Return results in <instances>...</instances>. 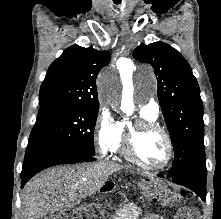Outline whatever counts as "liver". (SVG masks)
I'll return each mask as SVG.
<instances>
[{"label":"liver","instance_id":"6515ba94","mask_svg":"<svg viewBox=\"0 0 221 219\" xmlns=\"http://www.w3.org/2000/svg\"><path fill=\"white\" fill-rule=\"evenodd\" d=\"M123 167L95 162L47 169L30 180L21 195L22 219H43L48 213L67 210L98 191Z\"/></svg>","mask_w":221,"mask_h":219}]
</instances>
